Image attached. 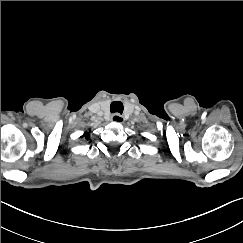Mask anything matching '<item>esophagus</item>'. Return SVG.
<instances>
[{"instance_id":"1","label":"esophagus","mask_w":243,"mask_h":243,"mask_svg":"<svg viewBox=\"0 0 243 243\" xmlns=\"http://www.w3.org/2000/svg\"><path fill=\"white\" fill-rule=\"evenodd\" d=\"M111 120L115 123H123L124 122V118L123 116H121L120 114L116 113L113 114L111 117Z\"/></svg>"}]
</instances>
